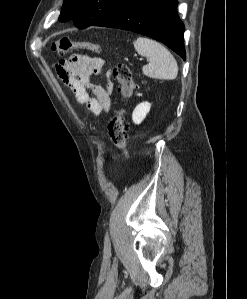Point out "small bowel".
I'll use <instances>...</instances> for the list:
<instances>
[{
	"instance_id": "c3829d8e",
	"label": "small bowel",
	"mask_w": 247,
	"mask_h": 299,
	"mask_svg": "<svg viewBox=\"0 0 247 299\" xmlns=\"http://www.w3.org/2000/svg\"><path fill=\"white\" fill-rule=\"evenodd\" d=\"M105 62L100 57L74 54L60 60L56 65L62 82L71 90L75 99L93 115L107 113L111 107L113 85L108 81L106 87L91 82L93 75H100Z\"/></svg>"
}]
</instances>
